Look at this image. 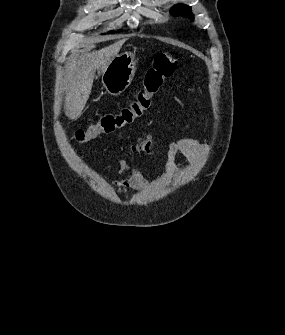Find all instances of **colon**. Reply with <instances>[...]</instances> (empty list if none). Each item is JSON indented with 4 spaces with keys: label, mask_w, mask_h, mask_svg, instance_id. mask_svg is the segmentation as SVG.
<instances>
[{
    "label": "colon",
    "mask_w": 285,
    "mask_h": 335,
    "mask_svg": "<svg viewBox=\"0 0 285 335\" xmlns=\"http://www.w3.org/2000/svg\"><path fill=\"white\" fill-rule=\"evenodd\" d=\"M177 67L178 61L172 54H157L145 73L142 90L136 94L135 98L118 112L105 114L85 129L77 130L74 135L75 140L83 144L100 134L111 133L133 123L149 109L154 95L165 81L173 76Z\"/></svg>",
    "instance_id": "colon-1"
}]
</instances>
